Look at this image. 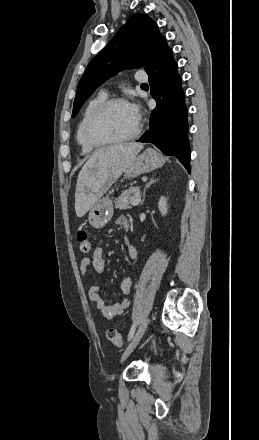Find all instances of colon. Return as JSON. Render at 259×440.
Instances as JSON below:
<instances>
[{"mask_svg": "<svg viewBox=\"0 0 259 440\" xmlns=\"http://www.w3.org/2000/svg\"><path fill=\"white\" fill-rule=\"evenodd\" d=\"M77 249L81 254H88L91 252L92 243L86 231L81 230L77 233ZM107 338L109 342L116 347H121L123 345V336L116 329H109L107 332Z\"/></svg>", "mask_w": 259, "mask_h": 440, "instance_id": "5ec220e1", "label": "colon"}]
</instances>
